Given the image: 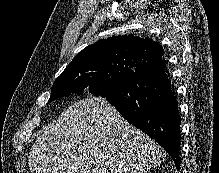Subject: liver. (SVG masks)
Returning a JSON list of instances; mask_svg holds the SVG:
<instances>
[{"label":"liver","mask_w":219,"mask_h":173,"mask_svg":"<svg viewBox=\"0 0 219 173\" xmlns=\"http://www.w3.org/2000/svg\"><path fill=\"white\" fill-rule=\"evenodd\" d=\"M164 156L106 99L89 97L39 131L28 164L31 173H146Z\"/></svg>","instance_id":"obj_1"}]
</instances>
